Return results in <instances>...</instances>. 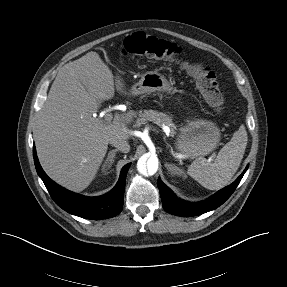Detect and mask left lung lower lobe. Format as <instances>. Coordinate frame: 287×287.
<instances>
[{
    "mask_svg": "<svg viewBox=\"0 0 287 287\" xmlns=\"http://www.w3.org/2000/svg\"><path fill=\"white\" fill-rule=\"evenodd\" d=\"M247 169L248 166L231 185L221 189L209 199L199 203H189L177 198L176 195L158 179L157 185L160 191L163 208L170 214L182 217L196 216L214 210L231 196Z\"/></svg>",
    "mask_w": 287,
    "mask_h": 287,
    "instance_id": "0a47b994",
    "label": "left lung lower lobe"
}]
</instances>
